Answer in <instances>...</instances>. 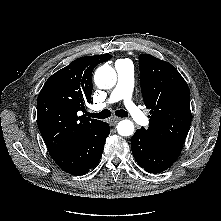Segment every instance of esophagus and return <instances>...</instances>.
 Returning <instances> with one entry per match:
<instances>
[{"label": "esophagus", "mask_w": 221, "mask_h": 221, "mask_svg": "<svg viewBox=\"0 0 221 221\" xmlns=\"http://www.w3.org/2000/svg\"><path fill=\"white\" fill-rule=\"evenodd\" d=\"M120 120H121V118L112 117L109 122H110L111 126H115Z\"/></svg>", "instance_id": "34e87169"}]
</instances>
